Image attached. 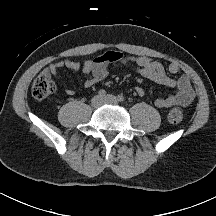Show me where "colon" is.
<instances>
[{"instance_id": "1", "label": "colon", "mask_w": 216, "mask_h": 216, "mask_svg": "<svg viewBox=\"0 0 216 216\" xmlns=\"http://www.w3.org/2000/svg\"><path fill=\"white\" fill-rule=\"evenodd\" d=\"M55 90V84L52 74L47 71L40 73L33 81L31 87L32 96L35 99H44ZM183 110L180 107L172 108L168 113V121L172 124H178L183 119Z\"/></svg>"}]
</instances>
